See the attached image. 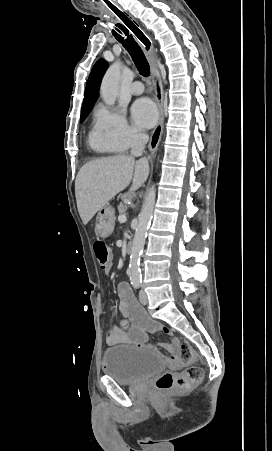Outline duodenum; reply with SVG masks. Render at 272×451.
<instances>
[{"label": "duodenum", "mask_w": 272, "mask_h": 451, "mask_svg": "<svg viewBox=\"0 0 272 451\" xmlns=\"http://www.w3.org/2000/svg\"><path fill=\"white\" fill-rule=\"evenodd\" d=\"M131 250H132V243L129 242L126 246V251L129 253V252H131Z\"/></svg>", "instance_id": "1"}]
</instances>
